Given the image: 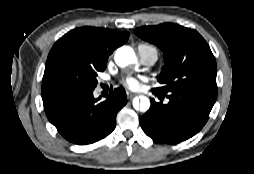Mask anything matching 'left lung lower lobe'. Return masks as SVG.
<instances>
[{"instance_id":"0a47b994","label":"left lung lower lobe","mask_w":254,"mask_h":174,"mask_svg":"<svg viewBox=\"0 0 254 174\" xmlns=\"http://www.w3.org/2000/svg\"><path fill=\"white\" fill-rule=\"evenodd\" d=\"M167 97L169 103L151 101L150 109L139 118L144 132L152 139L168 144L185 141L198 133L207 122L216 97L195 90H178Z\"/></svg>"}]
</instances>
